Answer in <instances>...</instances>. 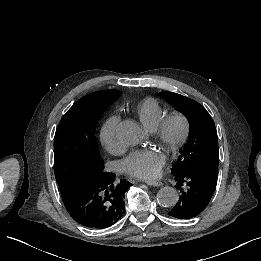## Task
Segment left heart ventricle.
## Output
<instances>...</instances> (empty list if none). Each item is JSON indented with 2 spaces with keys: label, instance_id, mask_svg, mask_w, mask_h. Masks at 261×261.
Here are the masks:
<instances>
[{
  "label": "left heart ventricle",
  "instance_id": "1",
  "mask_svg": "<svg viewBox=\"0 0 261 261\" xmlns=\"http://www.w3.org/2000/svg\"><path fill=\"white\" fill-rule=\"evenodd\" d=\"M143 129H144V131L147 133V135H148V129L147 128H144L143 127ZM178 133H179V128L176 126V127H174V129H173V136H177L178 135Z\"/></svg>",
  "mask_w": 261,
  "mask_h": 261
}]
</instances>
